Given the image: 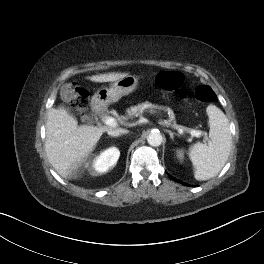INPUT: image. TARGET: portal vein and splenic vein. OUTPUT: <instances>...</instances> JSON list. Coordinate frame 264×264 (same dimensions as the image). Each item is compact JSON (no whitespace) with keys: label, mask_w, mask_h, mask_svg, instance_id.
Here are the masks:
<instances>
[{"label":"portal vein and splenic vein","mask_w":264,"mask_h":264,"mask_svg":"<svg viewBox=\"0 0 264 264\" xmlns=\"http://www.w3.org/2000/svg\"><path fill=\"white\" fill-rule=\"evenodd\" d=\"M104 124L108 125V126H116V121L113 117H106L104 120H103ZM167 125H170L168 122H165ZM172 128L174 129H177L180 133H183L184 130L188 131L191 136H195V137H201V135L203 134L202 131L200 130H194V129H190V128H186V127H183L181 125H176V124H173L171 125ZM205 139V142L209 141L207 136L204 137Z\"/></svg>","instance_id":"1"}]
</instances>
